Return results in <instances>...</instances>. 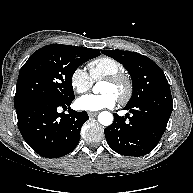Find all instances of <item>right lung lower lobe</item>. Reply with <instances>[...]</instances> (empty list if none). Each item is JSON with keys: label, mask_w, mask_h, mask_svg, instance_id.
<instances>
[{"label": "right lung lower lobe", "mask_w": 193, "mask_h": 193, "mask_svg": "<svg viewBox=\"0 0 193 193\" xmlns=\"http://www.w3.org/2000/svg\"><path fill=\"white\" fill-rule=\"evenodd\" d=\"M72 100L63 101L51 96L39 97L16 107L18 128L27 144L46 158L62 157L70 153L80 140V130L89 117L69 108V113H58Z\"/></svg>", "instance_id": "98d812e1"}]
</instances>
